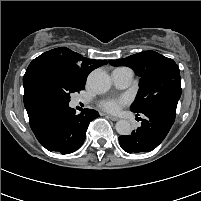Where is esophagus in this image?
I'll list each match as a JSON object with an SVG mask.
<instances>
[{"instance_id": "esophagus-1", "label": "esophagus", "mask_w": 201, "mask_h": 201, "mask_svg": "<svg viewBox=\"0 0 201 201\" xmlns=\"http://www.w3.org/2000/svg\"><path fill=\"white\" fill-rule=\"evenodd\" d=\"M107 118L111 119L112 121H118L119 118L113 115H106Z\"/></svg>"}]
</instances>
